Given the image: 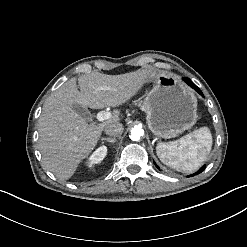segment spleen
<instances>
[{"label": "spleen", "mask_w": 247, "mask_h": 247, "mask_svg": "<svg viewBox=\"0 0 247 247\" xmlns=\"http://www.w3.org/2000/svg\"><path fill=\"white\" fill-rule=\"evenodd\" d=\"M212 145L211 130L205 126L168 145L160 143L156 148V153L164 165L182 173H191L197 171L205 163ZM168 147L171 148L170 151Z\"/></svg>", "instance_id": "obj_1"}]
</instances>
